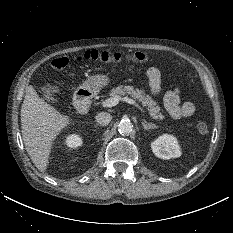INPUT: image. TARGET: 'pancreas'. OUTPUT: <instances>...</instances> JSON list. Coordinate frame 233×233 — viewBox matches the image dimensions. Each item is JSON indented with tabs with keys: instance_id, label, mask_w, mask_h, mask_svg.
<instances>
[{
	"instance_id": "pancreas-1",
	"label": "pancreas",
	"mask_w": 233,
	"mask_h": 233,
	"mask_svg": "<svg viewBox=\"0 0 233 233\" xmlns=\"http://www.w3.org/2000/svg\"><path fill=\"white\" fill-rule=\"evenodd\" d=\"M126 94L141 102L154 119H164V116L160 113V107L150 95L145 94L143 89L134 88L133 86H118L113 88L109 95L113 98L124 96Z\"/></svg>"
}]
</instances>
